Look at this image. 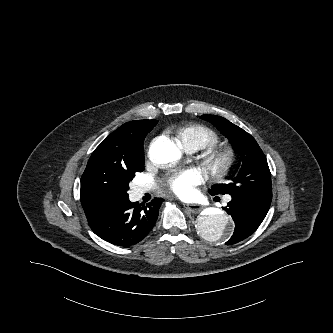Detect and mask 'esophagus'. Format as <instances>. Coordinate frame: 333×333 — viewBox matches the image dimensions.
Returning <instances> with one entry per match:
<instances>
[{"label":"esophagus","mask_w":333,"mask_h":333,"mask_svg":"<svg viewBox=\"0 0 333 333\" xmlns=\"http://www.w3.org/2000/svg\"><path fill=\"white\" fill-rule=\"evenodd\" d=\"M183 206L193 214H198L202 210V207L198 204L183 203Z\"/></svg>","instance_id":"obj_1"}]
</instances>
